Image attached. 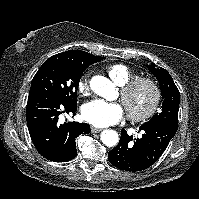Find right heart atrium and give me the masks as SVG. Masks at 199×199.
<instances>
[{"instance_id":"d8ad5b80","label":"right heart atrium","mask_w":199,"mask_h":199,"mask_svg":"<svg viewBox=\"0 0 199 199\" xmlns=\"http://www.w3.org/2000/svg\"><path fill=\"white\" fill-rule=\"evenodd\" d=\"M90 86L87 78H82L77 84L78 93L82 96L87 95L89 92Z\"/></svg>"}]
</instances>
